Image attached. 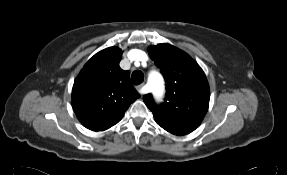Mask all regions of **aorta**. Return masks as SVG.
I'll list each match as a JSON object with an SVG mask.
<instances>
[{
  "label": "aorta",
  "instance_id": "1",
  "mask_svg": "<svg viewBox=\"0 0 287 175\" xmlns=\"http://www.w3.org/2000/svg\"><path fill=\"white\" fill-rule=\"evenodd\" d=\"M149 78H150V79L156 78V79H157L156 85H158V86H161V85H162V78H161V76H160L159 74L153 73V74L150 75Z\"/></svg>",
  "mask_w": 287,
  "mask_h": 175
}]
</instances>
